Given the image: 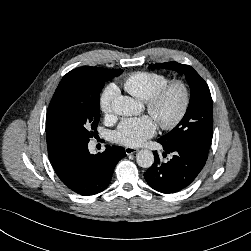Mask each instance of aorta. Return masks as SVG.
Returning <instances> with one entry per match:
<instances>
[{"label":"aorta","instance_id":"1","mask_svg":"<svg viewBox=\"0 0 251 251\" xmlns=\"http://www.w3.org/2000/svg\"><path fill=\"white\" fill-rule=\"evenodd\" d=\"M140 104L129 96H119L112 102V110L118 115H133L138 112ZM136 161L142 168H149L154 163V155L150 150H140L136 155Z\"/></svg>","mask_w":251,"mask_h":251}]
</instances>
